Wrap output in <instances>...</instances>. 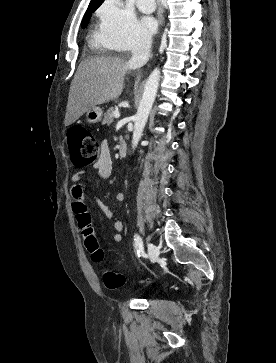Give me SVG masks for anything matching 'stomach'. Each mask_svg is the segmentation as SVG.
Instances as JSON below:
<instances>
[{
    "mask_svg": "<svg viewBox=\"0 0 276 363\" xmlns=\"http://www.w3.org/2000/svg\"><path fill=\"white\" fill-rule=\"evenodd\" d=\"M103 111L100 107H92L86 112V119L89 123L95 124L101 121Z\"/></svg>",
    "mask_w": 276,
    "mask_h": 363,
    "instance_id": "obj_1",
    "label": "stomach"
}]
</instances>
